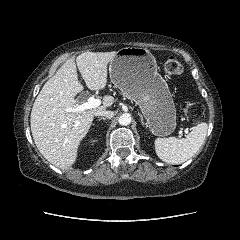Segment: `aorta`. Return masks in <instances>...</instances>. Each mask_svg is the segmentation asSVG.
<instances>
[{
	"label": "aorta",
	"mask_w": 240,
	"mask_h": 240,
	"mask_svg": "<svg viewBox=\"0 0 240 240\" xmlns=\"http://www.w3.org/2000/svg\"><path fill=\"white\" fill-rule=\"evenodd\" d=\"M131 115L129 113H123L120 117H119V124L122 126H127L131 123Z\"/></svg>",
	"instance_id": "1"
}]
</instances>
